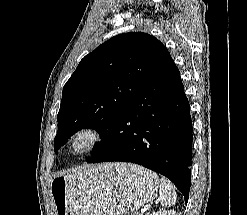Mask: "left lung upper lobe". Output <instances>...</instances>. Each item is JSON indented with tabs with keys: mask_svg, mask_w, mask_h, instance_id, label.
<instances>
[{
	"mask_svg": "<svg viewBox=\"0 0 247 215\" xmlns=\"http://www.w3.org/2000/svg\"><path fill=\"white\" fill-rule=\"evenodd\" d=\"M168 54L155 37L130 32L112 37L86 55L64 85L54 151L83 128L95 129L99 151L135 95Z\"/></svg>",
	"mask_w": 247,
	"mask_h": 215,
	"instance_id": "left-lung-upper-lobe-1",
	"label": "left lung upper lobe"
}]
</instances>
